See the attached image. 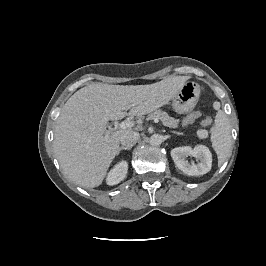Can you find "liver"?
Returning <instances> with one entry per match:
<instances>
[{"label": "liver", "instance_id": "obj_1", "mask_svg": "<svg viewBox=\"0 0 266 266\" xmlns=\"http://www.w3.org/2000/svg\"><path fill=\"white\" fill-rule=\"evenodd\" d=\"M188 78L173 76L130 86L92 83L75 92L63 106L54 133V151L63 173L80 186H99L117 155L121 136L132 131L108 133V121L142 116L160 108ZM128 105L131 109L127 113Z\"/></svg>", "mask_w": 266, "mask_h": 266}]
</instances>
